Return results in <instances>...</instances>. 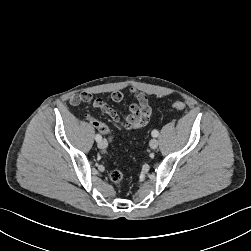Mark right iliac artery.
<instances>
[{
	"instance_id": "right-iliac-artery-1",
	"label": "right iliac artery",
	"mask_w": 251,
	"mask_h": 251,
	"mask_svg": "<svg viewBox=\"0 0 251 251\" xmlns=\"http://www.w3.org/2000/svg\"><path fill=\"white\" fill-rule=\"evenodd\" d=\"M95 139H96L97 142H99L102 139V136L100 134H97L95 136Z\"/></svg>"
}]
</instances>
